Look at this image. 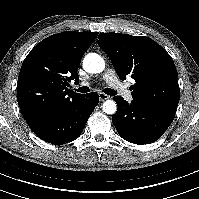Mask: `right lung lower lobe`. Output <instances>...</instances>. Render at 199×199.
<instances>
[{"instance_id": "98d812e1", "label": "right lung lower lobe", "mask_w": 199, "mask_h": 199, "mask_svg": "<svg viewBox=\"0 0 199 199\" xmlns=\"http://www.w3.org/2000/svg\"><path fill=\"white\" fill-rule=\"evenodd\" d=\"M99 102L96 92L82 95L76 101L51 114L28 122L31 130L42 140L52 144H66L77 139Z\"/></svg>"}]
</instances>
